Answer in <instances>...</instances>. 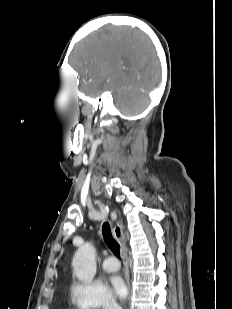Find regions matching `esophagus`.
Instances as JSON below:
<instances>
[{
    "instance_id": "1",
    "label": "esophagus",
    "mask_w": 232,
    "mask_h": 309,
    "mask_svg": "<svg viewBox=\"0 0 232 309\" xmlns=\"http://www.w3.org/2000/svg\"><path fill=\"white\" fill-rule=\"evenodd\" d=\"M113 233L115 238L120 242L121 248H122V257L124 259L125 264V272H126V280L128 284V288L130 289V282H129V263H128V256H127V248H126V242L125 237L123 233V229L120 224H116L113 228ZM130 299V294L128 297V300Z\"/></svg>"
}]
</instances>
